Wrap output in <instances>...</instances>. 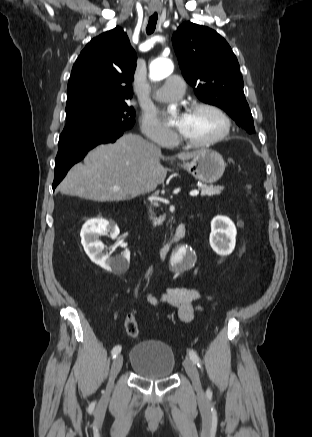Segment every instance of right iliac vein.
Wrapping results in <instances>:
<instances>
[{"instance_id":"1","label":"right iliac vein","mask_w":312,"mask_h":437,"mask_svg":"<svg viewBox=\"0 0 312 437\" xmlns=\"http://www.w3.org/2000/svg\"><path fill=\"white\" fill-rule=\"evenodd\" d=\"M122 365H123V356L118 355L112 363L111 372H110V379H109V384H108L109 389L112 387V383H113L115 377L117 376V374L120 372Z\"/></svg>"}]
</instances>
